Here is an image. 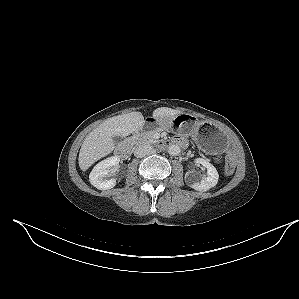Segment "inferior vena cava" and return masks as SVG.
Returning <instances> with one entry per match:
<instances>
[{
	"instance_id": "inferior-vena-cava-1",
	"label": "inferior vena cava",
	"mask_w": 299,
	"mask_h": 299,
	"mask_svg": "<svg viewBox=\"0 0 299 299\" xmlns=\"http://www.w3.org/2000/svg\"><path fill=\"white\" fill-rule=\"evenodd\" d=\"M154 149L150 145H140L135 148L134 155L138 158L144 157L145 155L151 154Z\"/></svg>"
}]
</instances>
